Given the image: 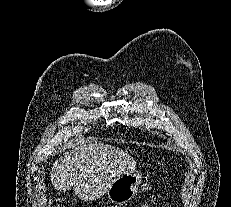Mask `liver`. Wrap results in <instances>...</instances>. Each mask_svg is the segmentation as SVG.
Instances as JSON below:
<instances>
[{
  "instance_id": "1",
  "label": "liver",
  "mask_w": 231,
  "mask_h": 207,
  "mask_svg": "<svg viewBox=\"0 0 231 207\" xmlns=\"http://www.w3.org/2000/svg\"><path fill=\"white\" fill-rule=\"evenodd\" d=\"M135 167L134 159L118 148L77 142L55 161L50 178L57 191L73 188L79 199L92 201L104 195L117 177Z\"/></svg>"
}]
</instances>
